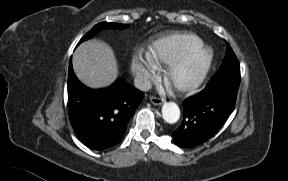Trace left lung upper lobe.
Here are the masks:
<instances>
[{
	"mask_svg": "<svg viewBox=\"0 0 288 181\" xmlns=\"http://www.w3.org/2000/svg\"><path fill=\"white\" fill-rule=\"evenodd\" d=\"M240 84V65L233 50L227 44L225 58L223 63L214 75V77L208 82L207 89H221L228 92L237 94Z\"/></svg>",
	"mask_w": 288,
	"mask_h": 181,
	"instance_id": "left-lung-upper-lobe-1",
	"label": "left lung upper lobe"
}]
</instances>
